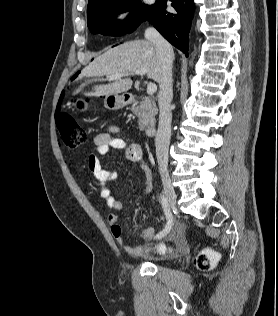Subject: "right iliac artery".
Listing matches in <instances>:
<instances>
[{
    "label": "right iliac artery",
    "instance_id": "82829eb1",
    "mask_svg": "<svg viewBox=\"0 0 278 316\" xmlns=\"http://www.w3.org/2000/svg\"><path fill=\"white\" fill-rule=\"evenodd\" d=\"M161 205H162L163 211H164L166 218H167V224H166L165 228L156 236L157 239H160V238L166 236L170 232L172 225H173V218H172V215L170 212V208L168 206L167 199H166L164 194L161 195Z\"/></svg>",
    "mask_w": 278,
    "mask_h": 316
}]
</instances>
